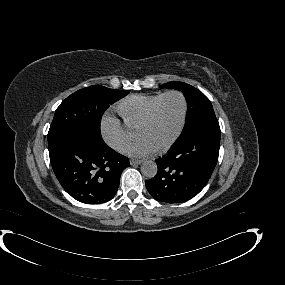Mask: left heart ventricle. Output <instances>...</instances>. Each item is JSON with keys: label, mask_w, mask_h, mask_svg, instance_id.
<instances>
[{"label": "left heart ventricle", "mask_w": 285, "mask_h": 285, "mask_svg": "<svg viewBox=\"0 0 285 285\" xmlns=\"http://www.w3.org/2000/svg\"><path fill=\"white\" fill-rule=\"evenodd\" d=\"M183 111V104L179 97L168 96L158 107L153 121L137 130V136L147 139L155 147L168 142L176 132Z\"/></svg>", "instance_id": "obj_1"}]
</instances>
